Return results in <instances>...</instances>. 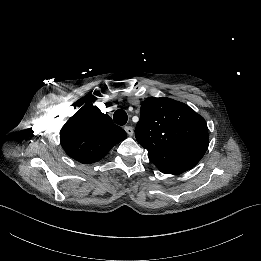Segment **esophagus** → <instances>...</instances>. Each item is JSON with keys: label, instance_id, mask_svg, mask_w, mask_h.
I'll list each match as a JSON object with an SVG mask.
<instances>
[{"label": "esophagus", "instance_id": "esophagus-1", "mask_svg": "<svg viewBox=\"0 0 261 261\" xmlns=\"http://www.w3.org/2000/svg\"><path fill=\"white\" fill-rule=\"evenodd\" d=\"M124 130L126 131V133H127L129 136H132V135H133V127H131V126H125V127H124Z\"/></svg>", "mask_w": 261, "mask_h": 261}]
</instances>
